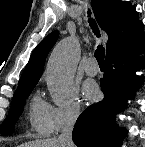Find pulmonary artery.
I'll return each instance as SVG.
<instances>
[{"instance_id": "e3ab8cb5", "label": "pulmonary artery", "mask_w": 145, "mask_h": 147, "mask_svg": "<svg viewBox=\"0 0 145 147\" xmlns=\"http://www.w3.org/2000/svg\"><path fill=\"white\" fill-rule=\"evenodd\" d=\"M84 71L87 75L95 76L98 74V66L96 65V61L94 58L88 59L84 64Z\"/></svg>"}]
</instances>
